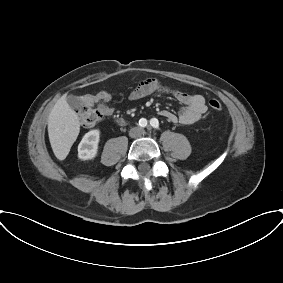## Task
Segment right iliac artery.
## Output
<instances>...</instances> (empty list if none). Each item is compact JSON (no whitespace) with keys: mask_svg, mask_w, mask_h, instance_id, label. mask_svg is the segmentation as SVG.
Segmentation results:
<instances>
[{"mask_svg":"<svg viewBox=\"0 0 283 283\" xmlns=\"http://www.w3.org/2000/svg\"><path fill=\"white\" fill-rule=\"evenodd\" d=\"M139 125H140L141 127H145V126L147 125V120L144 119V118L140 119V120H139Z\"/></svg>","mask_w":283,"mask_h":283,"instance_id":"right-iliac-artery-1","label":"right iliac artery"}]
</instances>
